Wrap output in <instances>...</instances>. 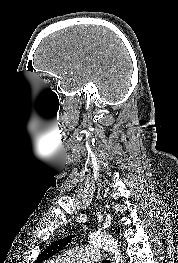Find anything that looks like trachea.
<instances>
[{
    "label": "trachea",
    "instance_id": "3493384b",
    "mask_svg": "<svg viewBox=\"0 0 178 263\" xmlns=\"http://www.w3.org/2000/svg\"><path fill=\"white\" fill-rule=\"evenodd\" d=\"M103 263H110V261L109 260H104Z\"/></svg>",
    "mask_w": 178,
    "mask_h": 263
}]
</instances>
